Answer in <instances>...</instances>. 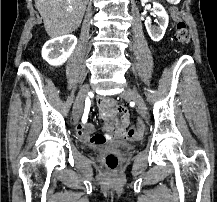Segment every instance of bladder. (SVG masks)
<instances>
[{"instance_id": "bladder-1", "label": "bladder", "mask_w": 217, "mask_h": 202, "mask_svg": "<svg viewBox=\"0 0 217 202\" xmlns=\"http://www.w3.org/2000/svg\"><path fill=\"white\" fill-rule=\"evenodd\" d=\"M129 146L128 143H117V142H110V148L114 149V150H121V149H125Z\"/></svg>"}]
</instances>
